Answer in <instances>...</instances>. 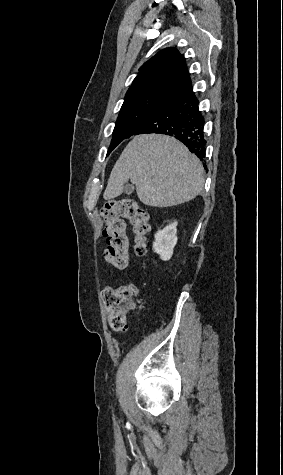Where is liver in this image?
Instances as JSON below:
<instances>
[{
	"mask_svg": "<svg viewBox=\"0 0 283 475\" xmlns=\"http://www.w3.org/2000/svg\"><path fill=\"white\" fill-rule=\"evenodd\" d=\"M203 166L188 148L170 136H135L119 156L103 194L112 202L131 180L145 206L167 208L196 198L204 186Z\"/></svg>",
	"mask_w": 283,
	"mask_h": 475,
	"instance_id": "liver-1",
	"label": "liver"
}]
</instances>
